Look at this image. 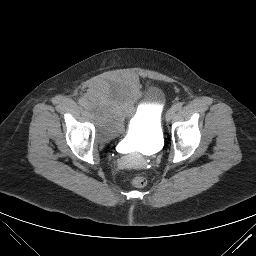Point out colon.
<instances>
[{"mask_svg":"<svg viewBox=\"0 0 256 256\" xmlns=\"http://www.w3.org/2000/svg\"><path fill=\"white\" fill-rule=\"evenodd\" d=\"M131 184L133 187L142 188L146 186L147 179L144 176L139 175L133 178V180L131 181Z\"/></svg>","mask_w":256,"mask_h":256,"instance_id":"obj_1","label":"colon"}]
</instances>
